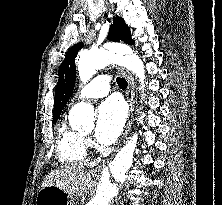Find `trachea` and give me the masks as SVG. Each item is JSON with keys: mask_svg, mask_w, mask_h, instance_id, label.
<instances>
[{"mask_svg": "<svg viewBox=\"0 0 222 205\" xmlns=\"http://www.w3.org/2000/svg\"><path fill=\"white\" fill-rule=\"evenodd\" d=\"M116 82L121 89H125L128 85L124 78L117 77Z\"/></svg>", "mask_w": 222, "mask_h": 205, "instance_id": "obj_1", "label": "trachea"}]
</instances>
